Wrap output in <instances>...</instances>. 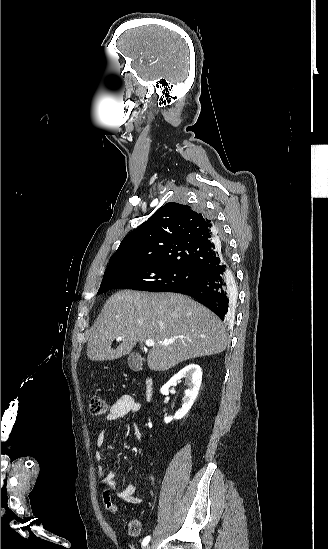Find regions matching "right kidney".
I'll list each match as a JSON object with an SVG mask.
<instances>
[{"label":"right kidney","mask_w":328,"mask_h":549,"mask_svg":"<svg viewBox=\"0 0 328 549\" xmlns=\"http://www.w3.org/2000/svg\"><path fill=\"white\" fill-rule=\"evenodd\" d=\"M183 377H185L189 389L185 391L182 409H180V411H177L174 417H165V423H170L172 419H183V417L187 415L189 409H191L198 395V391L200 389L202 381V371L199 365H194V363H191V365H187V367L181 369V371H179V373H176V375H174V377H172V379H170V381H168L166 385H163L161 389L162 395H169V387H176L178 381H181Z\"/></svg>","instance_id":"1"}]
</instances>
